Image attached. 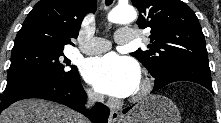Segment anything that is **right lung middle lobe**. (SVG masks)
<instances>
[{
  "label": "right lung middle lobe",
  "mask_w": 221,
  "mask_h": 123,
  "mask_svg": "<svg viewBox=\"0 0 221 123\" xmlns=\"http://www.w3.org/2000/svg\"><path fill=\"white\" fill-rule=\"evenodd\" d=\"M77 75V68L70 65L63 50L32 48L11 52L7 81L33 76L47 81L68 80Z\"/></svg>",
  "instance_id": "dd1d6c3e"
}]
</instances>
